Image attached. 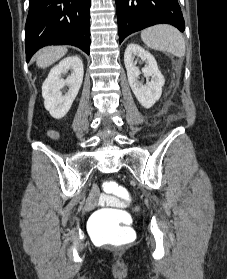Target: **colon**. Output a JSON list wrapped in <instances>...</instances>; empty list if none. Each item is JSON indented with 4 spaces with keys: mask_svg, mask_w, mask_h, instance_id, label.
Instances as JSON below:
<instances>
[{
    "mask_svg": "<svg viewBox=\"0 0 227 279\" xmlns=\"http://www.w3.org/2000/svg\"><path fill=\"white\" fill-rule=\"evenodd\" d=\"M50 136L56 138L57 135L51 132ZM102 187L107 196L114 197L116 193L122 196L129 194V191L117 181H105ZM127 219L128 214L122 209H100L93 214L90 222V231L97 241H101L108 237L130 239L133 238L134 232L133 229L126 224Z\"/></svg>",
    "mask_w": 227,
    "mask_h": 279,
    "instance_id": "colon-1",
    "label": "colon"
}]
</instances>
